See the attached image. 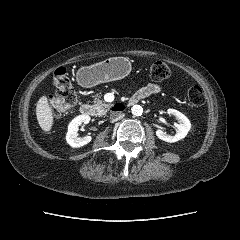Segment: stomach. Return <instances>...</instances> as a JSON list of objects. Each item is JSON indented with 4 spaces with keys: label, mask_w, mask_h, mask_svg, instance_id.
Segmentation results:
<instances>
[{
    "label": "stomach",
    "mask_w": 240,
    "mask_h": 240,
    "mask_svg": "<svg viewBox=\"0 0 240 240\" xmlns=\"http://www.w3.org/2000/svg\"><path fill=\"white\" fill-rule=\"evenodd\" d=\"M130 71V63L122 57L108 58L102 62L82 67L79 80L86 86L115 81L124 78Z\"/></svg>",
    "instance_id": "1"
}]
</instances>
